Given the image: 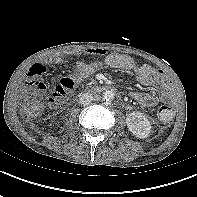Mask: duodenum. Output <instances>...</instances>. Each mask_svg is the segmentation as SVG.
<instances>
[{"mask_svg": "<svg viewBox=\"0 0 197 197\" xmlns=\"http://www.w3.org/2000/svg\"><path fill=\"white\" fill-rule=\"evenodd\" d=\"M108 89H109L108 87H100L99 88L100 91H104V90H108Z\"/></svg>", "mask_w": 197, "mask_h": 197, "instance_id": "1", "label": "duodenum"}]
</instances>
